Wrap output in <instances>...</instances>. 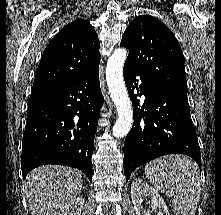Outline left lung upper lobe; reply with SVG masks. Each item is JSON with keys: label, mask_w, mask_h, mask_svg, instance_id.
Instances as JSON below:
<instances>
[{"label": "left lung upper lobe", "mask_w": 221, "mask_h": 215, "mask_svg": "<svg viewBox=\"0 0 221 215\" xmlns=\"http://www.w3.org/2000/svg\"><path fill=\"white\" fill-rule=\"evenodd\" d=\"M120 45L130 51L125 64L168 88L187 94L182 49L161 21L150 15L135 18Z\"/></svg>", "instance_id": "1"}]
</instances>
